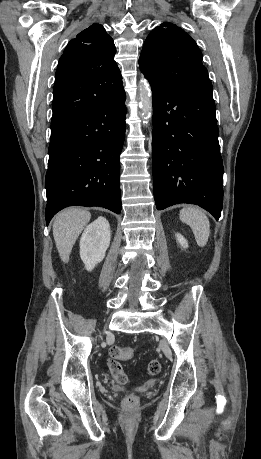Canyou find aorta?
<instances>
[{
	"mask_svg": "<svg viewBox=\"0 0 261 459\" xmlns=\"http://www.w3.org/2000/svg\"><path fill=\"white\" fill-rule=\"evenodd\" d=\"M141 117L143 123H148L152 117V94L148 82L142 79L138 86Z\"/></svg>",
	"mask_w": 261,
	"mask_h": 459,
	"instance_id": "obj_1",
	"label": "aorta"
}]
</instances>
